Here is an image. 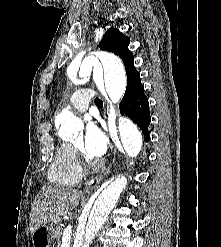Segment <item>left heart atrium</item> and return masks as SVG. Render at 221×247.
Listing matches in <instances>:
<instances>
[{
  "label": "left heart atrium",
  "instance_id": "39dd6f15",
  "mask_svg": "<svg viewBox=\"0 0 221 247\" xmlns=\"http://www.w3.org/2000/svg\"><path fill=\"white\" fill-rule=\"evenodd\" d=\"M108 139L99 125L91 121L86 125L83 146L86 153L91 157L102 156L107 149Z\"/></svg>",
  "mask_w": 221,
  "mask_h": 247
}]
</instances>
